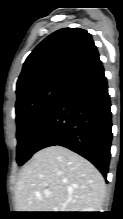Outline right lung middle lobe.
Returning <instances> with one entry per match:
<instances>
[{
  "instance_id": "1",
  "label": "right lung middle lobe",
  "mask_w": 123,
  "mask_h": 219,
  "mask_svg": "<svg viewBox=\"0 0 123 219\" xmlns=\"http://www.w3.org/2000/svg\"><path fill=\"white\" fill-rule=\"evenodd\" d=\"M66 82L50 83L36 88L16 102L18 140L17 163L24 164L36 152V143L42 134Z\"/></svg>"
}]
</instances>
